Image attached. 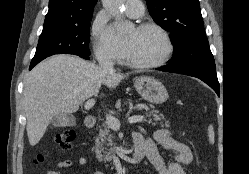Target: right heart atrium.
<instances>
[{
	"label": "right heart atrium",
	"instance_id": "obj_1",
	"mask_svg": "<svg viewBox=\"0 0 249 174\" xmlns=\"http://www.w3.org/2000/svg\"><path fill=\"white\" fill-rule=\"evenodd\" d=\"M107 26L106 23L98 18L93 25L92 33L95 39L94 52L98 61L103 63H110L113 61L114 56L110 47L104 41Z\"/></svg>",
	"mask_w": 249,
	"mask_h": 174
}]
</instances>
